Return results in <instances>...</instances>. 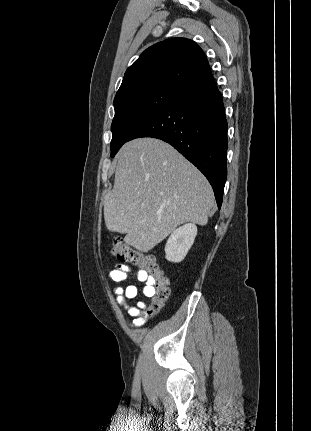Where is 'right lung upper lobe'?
<instances>
[{"mask_svg": "<svg viewBox=\"0 0 311 431\" xmlns=\"http://www.w3.org/2000/svg\"><path fill=\"white\" fill-rule=\"evenodd\" d=\"M214 82L203 50L192 40L170 38L146 49L125 72L116 96L144 88L182 95Z\"/></svg>", "mask_w": 311, "mask_h": 431, "instance_id": "right-lung-upper-lobe-1", "label": "right lung upper lobe"}]
</instances>
